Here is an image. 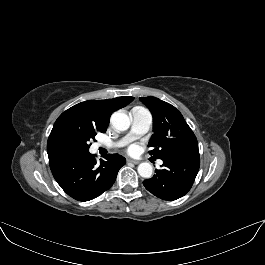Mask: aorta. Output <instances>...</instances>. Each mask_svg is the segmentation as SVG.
I'll list each match as a JSON object with an SVG mask.
<instances>
[{
	"mask_svg": "<svg viewBox=\"0 0 265 265\" xmlns=\"http://www.w3.org/2000/svg\"><path fill=\"white\" fill-rule=\"evenodd\" d=\"M112 126L119 130L125 131L130 126V119L128 115L122 111L114 112L110 118ZM138 174L143 178H150L153 173V167L150 163L143 162L138 166Z\"/></svg>",
	"mask_w": 265,
	"mask_h": 265,
	"instance_id": "762f6f07",
	"label": "aorta"
}]
</instances>
